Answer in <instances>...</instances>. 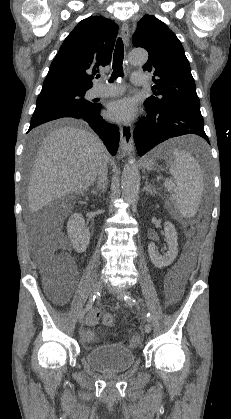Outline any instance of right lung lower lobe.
<instances>
[{
  "instance_id": "right-lung-lower-lobe-1",
  "label": "right lung lower lobe",
  "mask_w": 231,
  "mask_h": 419,
  "mask_svg": "<svg viewBox=\"0 0 231 419\" xmlns=\"http://www.w3.org/2000/svg\"><path fill=\"white\" fill-rule=\"evenodd\" d=\"M100 110L101 105L93 103L88 107L63 103L36 105L28 132L39 124L58 118L72 117L84 120L103 140L109 152L115 155L119 145V128L114 124L107 123L100 116Z\"/></svg>"
}]
</instances>
